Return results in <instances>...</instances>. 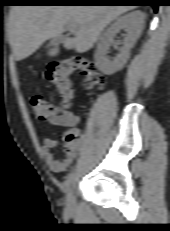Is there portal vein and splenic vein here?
<instances>
[{
  "label": "portal vein and splenic vein",
  "mask_w": 170,
  "mask_h": 231,
  "mask_svg": "<svg viewBox=\"0 0 170 231\" xmlns=\"http://www.w3.org/2000/svg\"><path fill=\"white\" fill-rule=\"evenodd\" d=\"M67 30H68L70 33H74V32H75V30H74L73 28H71V27H68Z\"/></svg>",
  "instance_id": "obj_1"
}]
</instances>
